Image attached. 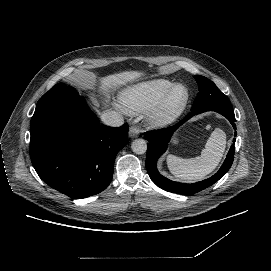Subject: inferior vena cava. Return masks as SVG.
Segmentation results:
<instances>
[{
	"label": "inferior vena cava",
	"instance_id": "602c4592",
	"mask_svg": "<svg viewBox=\"0 0 271 271\" xmlns=\"http://www.w3.org/2000/svg\"><path fill=\"white\" fill-rule=\"evenodd\" d=\"M101 119L105 125L111 127H120L124 124V119L114 111L102 114Z\"/></svg>",
	"mask_w": 271,
	"mask_h": 271
}]
</instances>
